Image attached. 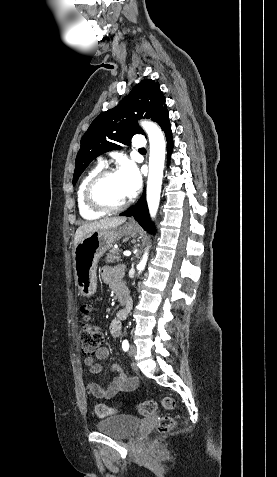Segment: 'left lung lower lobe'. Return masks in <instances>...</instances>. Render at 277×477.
I'll return each mask as SVG.
<instances>
[{"instance_id": "obj_1", "label": "left lung lower lobe", "mask_w": 277, "mask_h": 477, "mask_svg": "<svg viewBox=\"0 0 277 477\" xmlns=\"http://www.w3.org/2000/svg\"><path fill=\"white\" fill-rule=\"evenodd\" d=\"M162 130L165 132L166 139H167V151H168V159H169L171 151H172V147H173L171 125L169 121L162 127ZM120 215L128 216V217L133 216L135 220L147 231H150L152 228L151 220L148 213L145 193H143L137 205L131 207L130 209L121 213Z\"/></svg>"}]
</instances>
